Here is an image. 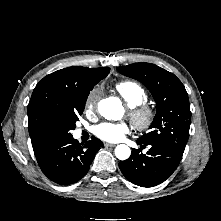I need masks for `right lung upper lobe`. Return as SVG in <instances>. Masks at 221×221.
<instances>
[{"instance_id":"cb5924a9","label":"right lung upper lobe","mask_w":221,"mask_h":221,"mask_svg":"<svg viewBox=\"0 0 221 221\" xmlns=\"http://www.w3.org/2000/svg\"><path fill=\"white\" fill-rule=\"evenodd\" d=\"M110 69L68 67L45 76L36 85L28 104V129L35 156L56 140L50 126L78 96L90 92Z\"/></svg>"}]
</instances>
